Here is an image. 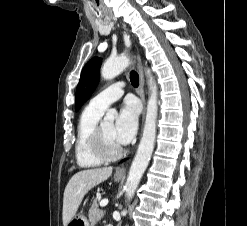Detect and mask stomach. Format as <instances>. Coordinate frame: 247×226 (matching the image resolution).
Masks as SVG:
<instances>
[{"mask_svg": "<svg viewBox=\"0 0 247 226\" xmlns=\"http://www.w3.org/2000/svg\"><path fill=\"white\" fill-rule=\"evenodd\" d=\"M114 180L118 182L121 180V177L115 176ZM67 226H90V223L84 215L78 214L70 220Z\"/></svg>", "mask_w": 247, "mask_h": 226, "instance_id": "stomach-1", "label": "stomach"}]
</instances>
